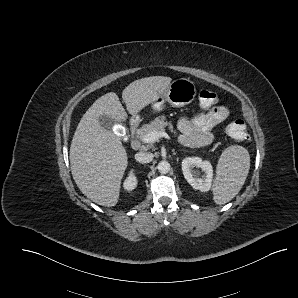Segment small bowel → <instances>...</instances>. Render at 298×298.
Listing matches in <instances>:
<instances>
[{"label":"small bowel","mask_w":298,"mask_h":298,"mask_svg":"<svg viewBox=\"0 0 298 298\" xmlns=\"http://www.w3.org/2000/svg\"><path fill=\"white\" fill-rule=\"evenodd\" d=\"M229 116V109L225 106H216L206 113L199 114L196 117L181 118L178 122L182 138H189L191 144L206 145L213 139L212 130Z\"/></svg>","instance_id":"c3829d8e"}]
</instances>
